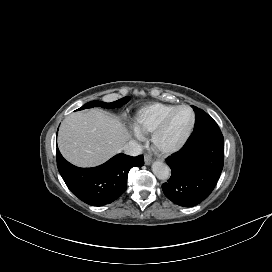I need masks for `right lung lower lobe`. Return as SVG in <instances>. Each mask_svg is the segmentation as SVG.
Segmentation results:
<instances>
[{"label":"right lung lower lobe","mask_w":272,"mask_h":272,"mask_svg":"<svg viewBox=\"0 0 272 272\" xmlns=\"http://www.w3.org/2000/svg\"><path fill=\"white\" fill-rule=\"evenodd\" d=\"M57 167L69 190L89 205L102 206L116 200L127 187V175L144 165L143 156L118 154L94 168H78L66 161L57 149Z\"/></svg>","instance_id":"obj_1"}]
</instances>
